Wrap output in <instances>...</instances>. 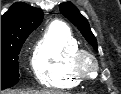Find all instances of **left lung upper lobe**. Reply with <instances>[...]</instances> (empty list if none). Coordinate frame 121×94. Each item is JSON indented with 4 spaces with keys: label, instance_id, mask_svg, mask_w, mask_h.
Here are the masks:
<instances>
[{
    "label": "left lung upper lobe",
    "instance_id": "1",
    "mask_svg": "<svg viewBox=\"0 0 121 94\" xmlns=\"http://www.w3.org/2000/svg\"><path fill=\"white\" fill-rule=\"evenodd\" d=\"M60 12L69 19L80 30L85 39L93 46L97 51V41L93 33L90 30L87 19L80 14L78 9L70 2L61 3L59 5Z\"/></svg>",
    "mask_w": 121,
    "mask_h": 94
}]
</instances>
